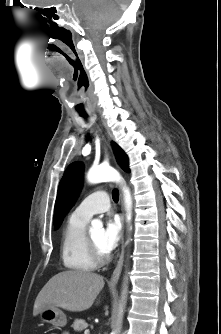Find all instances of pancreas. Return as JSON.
Instances as JSON below:
<instances>
[{
    "mask_svg": "<svg viewBox=\"0 0 221 334\" xmlns=\"http://www.w3.org/2000/svg\"><path fill=\"white\" fill-rule=\"evenodd\" d=\"M73 329L77 332H81L88 327V324L85 320L76 319L72 325Z\"/></svg>",
    "mask_w": 221,
    "mask_h": 334,
    "instance_id": "pancreas-1",
    "label": "pancreas"
}]
</instances>
